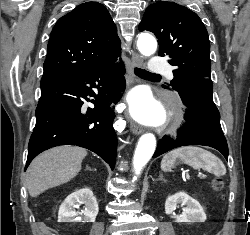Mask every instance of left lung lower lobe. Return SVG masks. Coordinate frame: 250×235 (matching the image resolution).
Masks as SVG:
<instances>
[{"mask_svg": "<svg viewBox=\"0 0 250 235\" xmlns=\"http://www.w3.org/2000/svg\"><path fill=\"white\" fill-rule=\"evenodd\" d=\"M186 107L185 124L176 139L167 136L158 142L153 158L180 146L205 145L219 150L228 160V146L220 125V114L213 102L212 81L191 79L177 90Z\"/></svg>", "mask_w": 250, "mask_h": 235, "instance_id": "1", "label": "left lung lower lobe"}]
</instances>
